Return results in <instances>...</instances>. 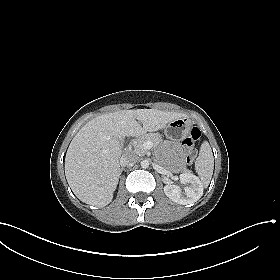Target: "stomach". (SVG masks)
I'll return each mask as SVG.
<instances>
[{
    "label": "stomach",
    "mask_w": 280,
    "mask_h": 280,
    "mask_svg": "<svg viewBox=\"0 0 280 280\" xmlns=\"http://www.w3.org/2000/svg\"><path fill=\"white\" fill-rule=\"evenodd\" d=\"M192 122L186 117L177 118L168 123L164 129L167 138L180 140L187 136L191 129Z\"/></svg>",
    "instance_id": "obj_1"
}]
</instances>
